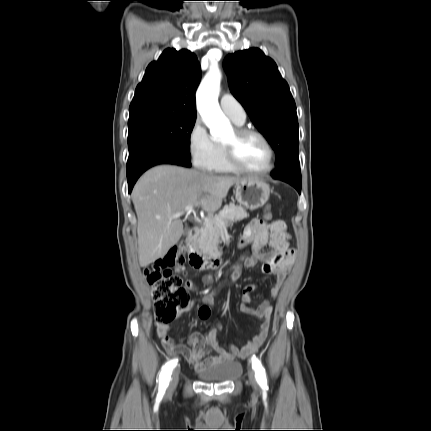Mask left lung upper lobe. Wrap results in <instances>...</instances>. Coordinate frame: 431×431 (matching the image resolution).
Masks as SVG:
<instances>
[{
	"mask_svg": "<svg viewBox=\"0 0 431 431\" xmlns=\"http://www.w3.org/2000/svg\"><path fill=\"white\" fill-rule=\"evenodd\" d=\"M231 93L276 153L273 178H301L296 105L275 62L258 48L226 56Z\"/></svg>",
	"mask_w": 431,
	"mask_h": 431,
	"instance_id": "1",
	"label": "left lung upper lobe"
}]
</instances>
